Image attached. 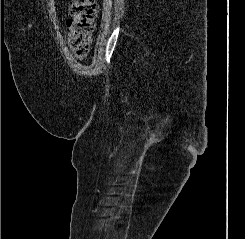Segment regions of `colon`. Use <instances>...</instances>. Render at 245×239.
<instances>
[{
    "instance_id": "5ec220e1",
    "label": "colon",
    "mask_w": 245,
    "mask_h": 239,
    "mask_svg": "<svg viewBox=\"0 0 245 239\" xmlns=\"http://www.w3.org/2000/svg\"><path fill=\"white\" fill-rule=\"evenodd\" d=\"M69 14L70 18L67 21L69 46L78 57L86 56L92 43L98 5L95 0H71Z\"/></svg>"
}]
</instances>
